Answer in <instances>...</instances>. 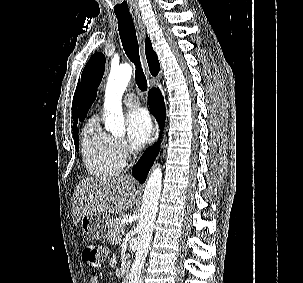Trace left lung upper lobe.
I'll list each match as a JSON object with an SVG mask.
<instances>
[{"label":"left lung upper lobe","mask_w":303,"mask_h":283,"mask_svg":"<svg viewBox=\"0 0 303 283\" xmlns=\"http://www.w3.org/2000/svg\"><path fill=\"white\" fill-rule=\"evenodd\" d=\"M105 69V56L98 52L91 56L82 73V90L79 102V118L83 121L94 102L97 88Z\"/></svg>","instance_id":"obj_1"}]
</instances>
